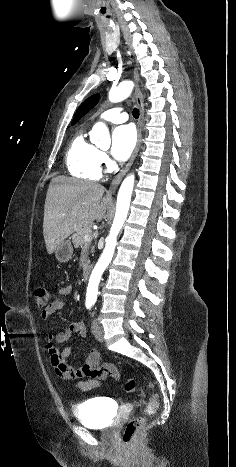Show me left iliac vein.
<instances>
[{
    "label": "left iliac vein",
    "instance_id": "1",
    "mask_svg": "<svg viewBox=\"0 0 236 467\" xmlns=\"http://www.w3.org/2000/svg\"><path fill=\"white\" fill-rule=\"evenodd\" d=\"M92 333L98 341L102 342L104 340L103 328L97 320H94L92 323Z\"/></svg>",
    "mask_w": 236,
    "mask_h": 467
}]
</instances>
